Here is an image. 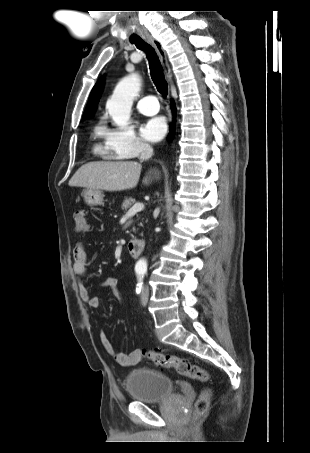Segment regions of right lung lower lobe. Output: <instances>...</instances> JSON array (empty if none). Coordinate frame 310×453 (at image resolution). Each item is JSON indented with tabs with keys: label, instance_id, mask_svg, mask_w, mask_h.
Masks as SVG:
<instances>
[{
	"label": "right lung lower lobe",
	"instance_id": "obj_1",
	"mask_svg": "<svg viewBox=\"0 0 310 453\" xmlns=\"http://www.w3.org/2000/svg\"><path fill=\"white\" fill-rule=\"evenodd\" d=\"M171 109H172V111L174 113L176 112V108H175V103L174 102H171ZM173 135H174V128H171L168 137L171 139Z\"/></svg>",
	"mask_w": 310,
	"mask_h": 453
}]
</instances>
